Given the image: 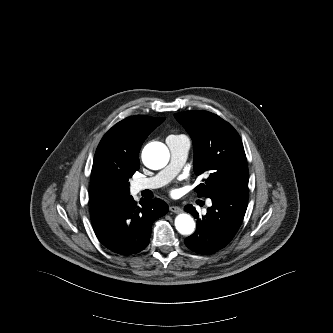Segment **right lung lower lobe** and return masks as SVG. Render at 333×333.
I'll use <instances>...</instances> for the list:
<instances>
[{
  "label": "right lung lower lobe",
  "mask_w": 333,
  "mask_h": 333,
  "mask_svg": "<svg viewBox=\"0 0 333 333\" xmlns=\"http://www.w3.org/2000/svg\"><path fill=\"white\" fill-rule=\"evenodd\" d=\"M168 205L160 200H146L136 204L132 196L102 204H91V218L99 241L111 251L130 255L142 251L149 243L151 226L168 212Z\"/></svg>",
  "instance_id": "right-lung-lower-lobe-1"
}]
</instances>
